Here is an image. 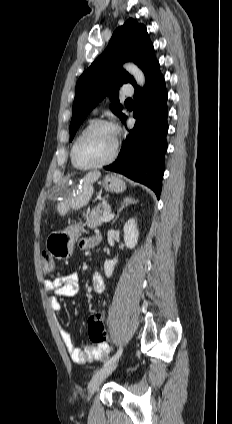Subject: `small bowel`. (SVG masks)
<instances>
[{
  "label": "small bowel",
  "instance_id": "1",
  "mask_svg": "<svg viewBox=\"0 0 232 424\" xmlns=\"http://www.w3.org/2000/svg\"><path fill=\"white\" fill-rule=\"evenodd\" d=\"M100 240L99 236H89L81 239L80 246L83 249H91L98 245ZM79 275L76 272L65 274L47 280L44 282V288L50 294L48 304L51 312L57 316L61 312V304L58 300L59 296L74 297L78 294ZM92 290L95 293H102L104 290V282L99 273H94L91 278ZM59 333L63 343L71 356L72 360L76 363H92L105 359L109 353V347L106 343L96 346H86L83 349L78 348L70 333L59 326Z\"/></svg>",
  "mask_w": 232,
  "mask_h": 424
}]
</instances>
